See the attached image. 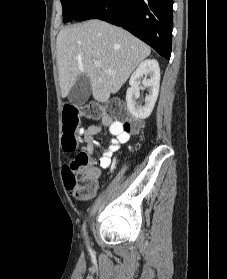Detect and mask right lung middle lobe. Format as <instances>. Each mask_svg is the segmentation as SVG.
I'll use <instances>...</instances> for the list:
<instances>
[{
    "label": "right lung middle lobe",
    "instance_id": "obj_1",
    "mask_svg": "<svg viewBox=\"0 0 227 279\" xmlns=\"http://www.w3.org/2000/svg\"><path fill=\"white\" fill-rule=\"evenodd\" d=\"M91 0H61L64 22L74 20Z\"/></svg>",
    "mask_w": 227,
    "mask_h": 279
}]
</instances>
